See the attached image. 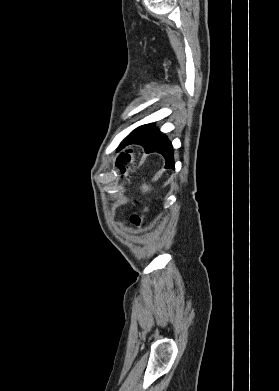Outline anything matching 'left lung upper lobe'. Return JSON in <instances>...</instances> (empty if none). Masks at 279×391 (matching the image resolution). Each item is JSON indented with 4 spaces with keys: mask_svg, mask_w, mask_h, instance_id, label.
<instances>
[{
    "mask_svg": "<svg viewBox=\"0 0 279 391\" xmlns=\"http://www.w3.org/2000/svg\"><path fill=\"white\" fill-rule=\"evenodd\" d=\"M152 126H153L152 124L140 126V127L136 128L134 131H132V133L129 136L140 134V133L150 129Z\"/></svg>",
    "mask_w": 279,
    "mask_h": 391,
    "instance_id": "obj_1",
    "label": "left lung upper lobe"
}]
</instances>
